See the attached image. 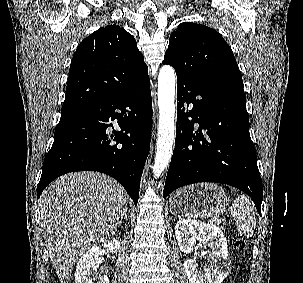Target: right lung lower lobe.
Returning <instances> with one entry per match:
<instances>
[{"mask_svg":"<svg viewBox=\"0 0 303 283\" xmlns=\"http://www.w3.org/2000/svg\"><path fill=\"white\" fill-rule=\"evenodd\" d=\"M113 124L121 130H110ZM151 126L150 80L122 95L61 114L44 159L38 198L63 174L99 171L119 181L137 205Z\"/></svg>","mask_w":303,"mask_h":283,"instance_id":"right-lung-lower-lobe-1","label":"right lung lower lobe"}]
</instances>
